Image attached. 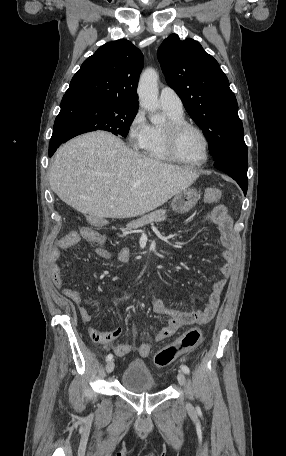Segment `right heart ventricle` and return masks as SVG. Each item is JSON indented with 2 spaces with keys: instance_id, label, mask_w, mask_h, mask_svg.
Here are the masks:
<instances>
[{
  "instance_id": "1",
  "label": "right heart ventricle",
  "mask_w": 286,
  "mask_h": 456,
  "mask_svg": "<svg viewBox=\"0 0 286 456\" xmlns=\"http://www.w3.org/2000/svg\"><path fill=\"white\" fill-rule=\"evenodd\" d=\"M165 110V109H164ZM170 120H184L183 113L176 114L168 110H165ZM163 127L150 126L147 139L141 147L142 152L149 159L160 162L171 161L165 152L162 136Z\"/></svg>"
}]
</instances>
